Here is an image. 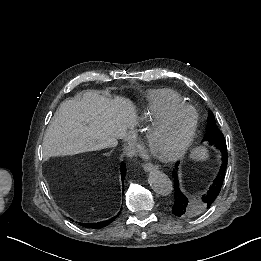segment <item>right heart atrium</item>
Returning <instances> with one entry per match:
<instances>
[{"instance_id": "1", "label": "right heart atrium", "mask_w": 261, "mask_h": 261, "mask_svg": "<svg viewBox=\"0 0 261 261\" xmlns=\"http://www.w3.org/2000/svg\"><path fill=\"white\" fill-rule=\"evenodd\" d=\"M120 109H121V108H120ZM121 112H122V114H123V111H122V110H121ZM123 117H124V120H125L126 125H127V133H126V136H125L123 142H124V144H131V143L133 142V134H132V132H131V130H130V128H129V125H128V123H127V120H126L124 114H123Z\"/></svg>"}]
</instances>
